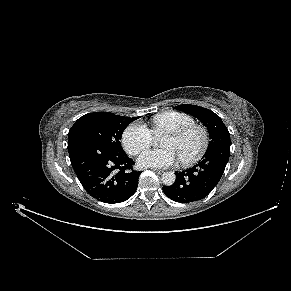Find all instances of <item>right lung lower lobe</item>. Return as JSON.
<instances>
[{"instance_id": "obj_1", "label": "right lung lower lobe", "mask_w": 291, "mask_h": 291, "mask_svg": "<svg viewBox=\"0 0 291 291\" xmlns=\"http://www.w3.org/2000/svg\"><path fill=\"white\" fill-rule=\"evenodd\" d=\"M72 167L84 189L104 203H119L136 191L141 174L134 161L95 139L79 136L68 141Z\"/></svg>"}]
</instances>
